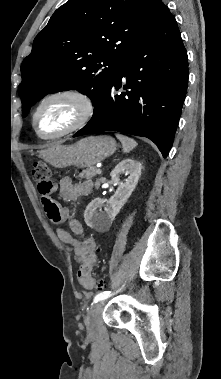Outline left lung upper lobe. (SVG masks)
Segmentation results:
<instances>
[{"mask_svg": "<svg viewBox=\"0 0 221 379\" xmlns=\"http://www.w3.org/2000/svg\"><path fill=\"white\" fill-rule=\"evenodd\" d=\"M164 6L161 0H69L59 7L21 65L24 116L45 95L63 90H78L95 105Z\"/></svg>", "mask_w": 221, "mask_h": 379, "instance_id": "5c2ea615", "label": "left lung upper lobe"}]
</instances>
